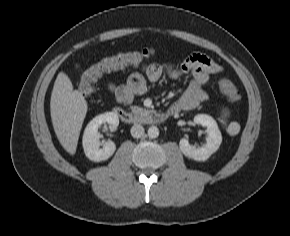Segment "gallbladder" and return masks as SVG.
<instances>
[{
	"instance_id": "bac80fb5",
	"label": "gallbladder",
	"mask_w": 290,
	"mask_h": 236,
	"mask_svg": "<svg viewBox=\"0 0 290 236\" xmlns=\"http://www.w3.org/2000/svg\"><path fill=\"white\" fill-rule=\"evenodd\" d=\"M75 67H76V68H79V65H78V64H76V65H75Z\"/></svg>"
}]
</instances>
